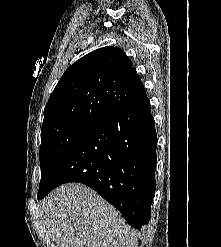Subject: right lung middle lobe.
Wrapping results in <instances>:
<instances>
[{
  "label": "right lung middle lobe",
  "mask_w": 221,
  "mask_h": 247,
  "mask_svg": "<svg viewBox=\"0 0 221 247\" xmlns=\"http://www.w3.org/2000/svg\"><path fill=\"white\" fill-rule=\"evenodd\" d=\"M92 127L94 126L89 124L70 123L56 128L41 130L39 158L42 176L39 190L69 149Z\"/></svg>",
  "instance_id": "1"
}]
</instances>
